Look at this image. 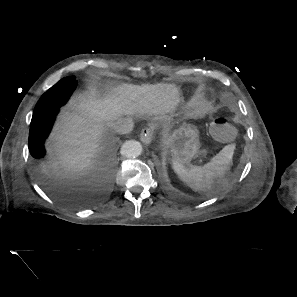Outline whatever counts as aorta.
<instances>
[{"instance_id":"1","label":"aorta","mask_w":297,"mask_h":297,"mask_svg":"<svg viewBox=\"0 0 297 297\" xmlns=\"http://www.w3.org/2000/svg\"><path fill=\"white\" fill-rule=\"evenodd\" d=\"M120 153L126 158H135L141 155L142 145L140 142L135 140L126 141L122 146Z\"/></svg>"}]
</instances>
